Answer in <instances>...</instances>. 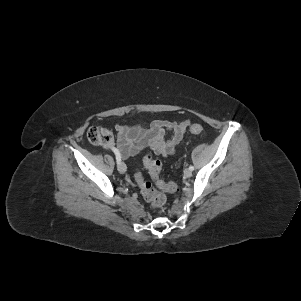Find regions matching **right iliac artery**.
I'll list each match as a JSON object with an SVG mask.
<instances>
[{"instance_id": "1", "label": "right iliac artery", "mask_w": 301, "mask_h": 301, "mask_svg": "<svg viewBox=\"0 0 301 301\" xmlns=\"http://www.w3.org/2000/svg\"><path fill=\"white\" fill-rule=\"evenodd\" d=\"M112 151L114 152V154L116 156L117 163H119L121 161V155H120L119 151L116 148H113Z\"/></svg>"}]
</instances>
